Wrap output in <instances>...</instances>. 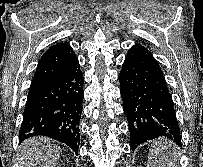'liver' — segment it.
<instances>
[{
    "label": "liver",
    "mask_w": 203,
    "mask_h": 167,
    "mask_svg": "<svg viewBox=\"0 0 203 167\" xmlns=\"http://www.w3.org/2000/svg\"><path fill=\"white\" fill-rule=\"evenodd\" d=\"M60 147L46 137H33L21 144L20 167H54L60 157Z\"/></svg>",
    "instance_id": "obj_1"
}]
</instances>
